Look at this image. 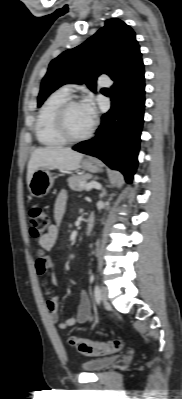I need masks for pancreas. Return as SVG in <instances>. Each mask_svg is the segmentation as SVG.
Segmentation results:
<instances>
[{
    "mask_svg": "<svg viewBox=\"0 0 182 399\" xmlns=\"http://www.w3.org/2000/svg\"><path fill=\"white\" fill-rule=\"evenodd\" d=\"M91 178L89 174L75 175L68 178V185L74 191H82L85 189V182Z\"/></svg>",
    "mask_w": 182,
    "mask_h": 399,
    "instance_id": "cf45deb5",
    "label": "pancreas"
}]
</instances>
